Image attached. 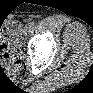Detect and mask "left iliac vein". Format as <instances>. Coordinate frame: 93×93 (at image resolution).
Wrapping results in <instances>:
<instances>
[{
  "label": "left iliac vein",
  "mask_w": 93,
  "mask_h": 93,
  "mask_svg": "<svg viewBox=\"0 0 93 93\" xmlns=\"http://www.w3.org/2000/svg\"><path fill=\"white\" fill-rule=\"evenodd\" d=\"M29 26H30L29 24L28 25H25V27L23 29V34L24 35H27V33H29V31H30V27Z\"/></svg>",
  "instance_id": "obj_1"
}]
</instances>
